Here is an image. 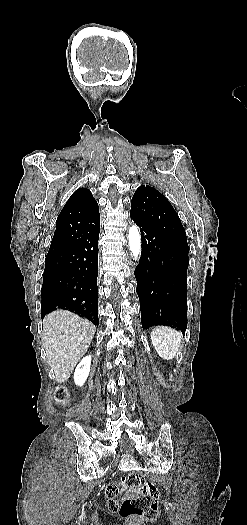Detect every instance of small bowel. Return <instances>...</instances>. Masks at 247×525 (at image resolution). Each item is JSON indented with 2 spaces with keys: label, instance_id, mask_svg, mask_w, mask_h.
<instances>
[{
  "label": "small bowel",
  "instance_id": "c3829d8e",
  "mask_svg": "<svg viewBox=\"0 0 247 525\" xmlns=\"http://www.w3.org/2000/svg\"><path fill=\"white\" fill-rule=\"evenodd\" d=\"M121 483L120 481L113 479L110 481L107 491H106V502L105 505L107 508L110 509L112 513H117L119 511V506L115 502V496L114 494L118 491V488H120Z\"/></svg>",
  "mask_w": 247,
  "mask_h": 525
}]
</instances>
